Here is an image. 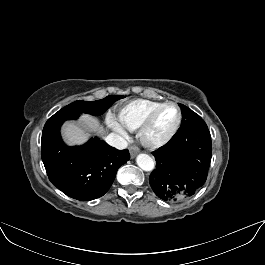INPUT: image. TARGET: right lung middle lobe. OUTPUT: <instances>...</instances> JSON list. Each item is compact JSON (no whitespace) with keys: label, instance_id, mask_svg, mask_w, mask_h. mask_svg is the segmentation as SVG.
I'll return each instance as SVG.
<instances>
[{"label":"right lung middle lobe","instance_id":"dd1d6c3e","mask_svg":"<svg viewBox=\"0 0 265 265\" xmlns=\"http://www.w3.org/2000/svg\"><path fill=\"white\" fill-rule=\"evenodd\" d=\"M121 98H124V96L110 95L101 100L93 102L78 100L63 107L54 115H79L81 113H88L91 115H102L115 101Z\"/></svg>","mask_w":265,"mask_h":265}]
</instances>
